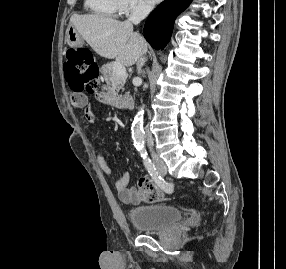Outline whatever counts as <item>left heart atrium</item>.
I'll return each mask as SVG.
<instances>
[{
    "instance_id": "1",
    "label": "left heart atrium",
    "mask_w": 286,
    "mask_h": 269,
    "mask_svg": "<svg viewBox=\"0 0 286 269\" xmlns=\"http://www.w3.org/2000/svg\"><path fill=\"white\" fill-rule=\"evenodd\" d=\"M161 0H148V2L150 3V4H155V3H158V2H160Z\"/></svg>"
}]
</instances>
